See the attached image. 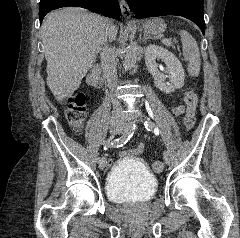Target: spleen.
Listing matches in <instances>:
<instances>
[{
    "instance_id": "1",
    "label": "spleen",
    "mask_w": 240,
    "mask_h": 238,
    "mask_svg": "<svg viewBox=\"0 0 240 238\" xmlns=\"http://www.w3.org/2000/svg\"><path fill=\"white\" fill-rule=\"evenodd\" d=\"M183 56L188 62V73L192 77H197L200 73V52L196 40L187 31L182 30L180 32Z\"/></svg>"
}]
</instances>
